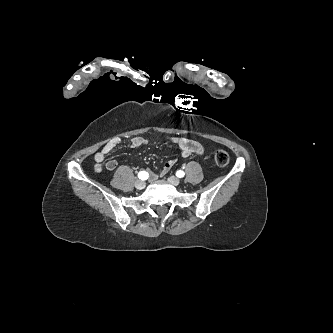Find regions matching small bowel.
Returning a JSON list of instances; mask_svg holds the SVG:
<instances>
[{"label": "small bowel", "mask_w": 333, "mask_h": 333, "mask_svg": "<svg viewBox=\"0 0 333 333\" xmlns=\"http://www.w3.org/2000/svg\"><path fill=\"white\" fill-rule=\"evenodd\" d=\"M172 144H174L182 156L188 157L192 154L202 155L203 147L200 143L183 138V137H172L169 139ZM121 140L119 138H114L108 141L100 151L94 155V165L93 168L96 172H101L105 167L109 171H113L117 168V161L114 159H109L105 162L106 157L111 153L119 144ZM147 143V140L144 137L137 136L131 139V147L137 148L143 146ZM176 159H170L158 171H151L150 175L152 179H156L158 176L166 174L175 164Z\"/></svg>", "instance_id": "1"}]
</instances>
